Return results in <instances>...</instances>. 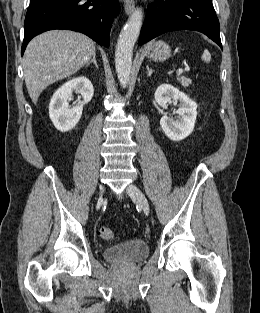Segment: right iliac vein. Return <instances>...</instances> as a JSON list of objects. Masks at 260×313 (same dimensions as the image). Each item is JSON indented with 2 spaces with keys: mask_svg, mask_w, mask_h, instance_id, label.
I'll return each instance as SVG.
<instances>
[{
  "mask_svg": "<svg viewBox=\"0 0 260 313\" xmlns=\"http://www.w3.org/2000/svg\"><path fill=\"white\" fill-rule=\"evenodd\" d=\"M104 190H105V188L102 186V187L100 188V195H99V198H98V203H102V201H103V193H104Z\"/></svg>",
  "mask_w": 260,
  "mask_h": 313,
  "instance_id": "1",
  "label": "right iliac vein"
}]
</instances>
